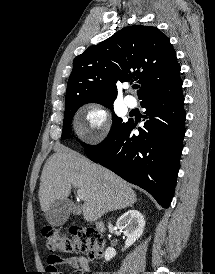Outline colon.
<instances>
[{
    "label": "colon",
    "mask_w": 215,
    "mask_h": 274,
    "mask_svg": "<svg viewBox=\"0 0 215 274\" xmlns=\"http://www.w3.org/2000/svg\"><path fill=\"white\" fill-rule=\"evenodd\" d=\"M42 234L50 251L87 252L91 259H97L102 252L103 238L90 227H74L68 233H63L51 225H44Z\"/></svg>",
    "instance_id": "1"
}]
</instances>
